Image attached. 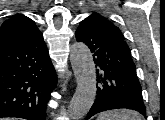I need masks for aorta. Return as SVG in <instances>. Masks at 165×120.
I'll return each mask as SVG.
<instances>
[{"label": "aorta", "instance_id": "obj_1", "mask_svg": "<svg viewBox=\"0 0 165 120\" xmlns=\"http://www.w3.org/2000/svg\"><path fill=\"white\" fill-rule=\"evenodd\" d=\"M70 62L77 87L69 105L68 115L72 120H80L88 113L96 97V69L92 54L84 43L72 45Z\"/></svg>", "mask_w": 165, "mask_h": 120}]
</instances>
